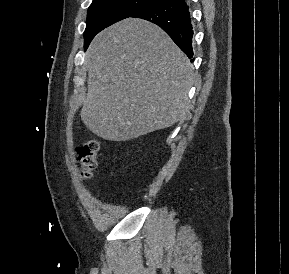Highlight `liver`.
<instances>
[{"mask_svg": "<svg viewBox=\"0 0 289 274\" xmlns=\"http://www.w3.org/2000/svg\"><path fill=\"white\" fill-rule=\"evenodd\" d=\"M85 65V126L102 139L128 141L168 128L188 113L193 81L186 55L158 26L124 19L91 42Z\"/></svg>", "mask_w": 289, "mask_h": 274, "instance_id": "obj_1", "label": "liver"}]
</instances>
